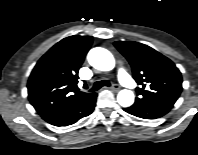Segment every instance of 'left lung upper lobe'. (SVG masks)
Instances as JSON below:
<instances>
[{
  "instance_id": "obj_1",
  "label": "left lung upper lobe",
  "mask_w": 198,
  "mask_h": 155,
  "mask_svg": "<svg viewBox=\"0 0 198 155\" xmlns=\"http://www.w3.org/2000/svg\"><path fill=\"white\" fill-rule=\"evenodd\" d=\"M115 47L129 61L136 88L135 104L173 107L182 91L181 73L175 64L153 48L129 41H117Z\"/></svg>"
}]
</instances>
